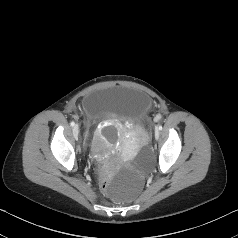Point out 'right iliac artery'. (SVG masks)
<instances>
[{
	"label": "right iliac artery",
	"instance_id": "obj_1",
	"mask_svg": "<svg viewBox=\"0 0 238 238\" xmlns=\"http://www.w3.org/2000/svg\"><path fill=\"white\" fill-rule=\"evenodd\" d=\"M70 125L73 127V126L75 125V123H74V122H71Z\"/></svg>",
	"mask_w": 238,
	"mask_h": 238
}]
</instances>
